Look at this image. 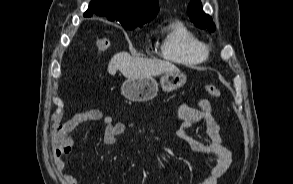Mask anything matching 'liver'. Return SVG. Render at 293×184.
I'll return each mask as SVG.
<instances>
[{
  "mask_svg": "<svg viewBox=\"0 0 293 184\" xmlns=\"http://www.w3.org/2000/svg\"><path fill=\"white\" fill-rule=\"evenodd\" d=\"M119 70L127 78L150 77L166 72H178L179 69L168 61L133 57L127 52L115 54L108 65V72L115 75Z\"/></svg>",
  "mask_w": 293,
  "mask_h": 184,
  "instance_id": "6515ba94",
  "label": "liver"
}]
</instances>
